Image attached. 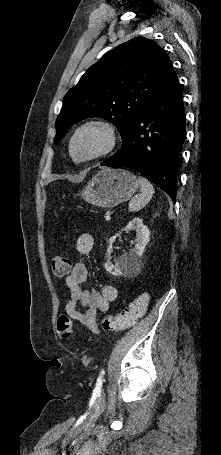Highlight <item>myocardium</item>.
<instances>
[{
	"label": "myocardium",
	"mask_w": 221,
	"mask_h": 455,
	"mask_svg": "<svg viewBox=\"0 0 221 455\" xmlns=\"http://www.w3.org/2000/svg\"><path fill=\"white\" fill-rule=\"evenodd\" d=\"M89 129H94L100 131L105 138V143L103 147L96 153L80 158L75 154V143L78 137L85 131ZM118 142V135L116 127L113 123L105 119H89L83 123H81L73 132L70 142H69V150L72 158L76 162H88L99 159L101 157L106 156L110 152L114 150Z\"/></svg>",
	"instance_id": "myocardium-1"
}]
</instances>
